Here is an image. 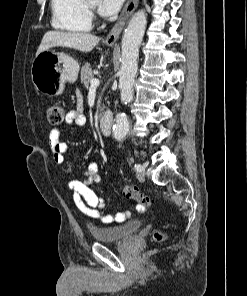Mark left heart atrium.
<instances>
[{
  "instance_id": "1",
  "label": "left heart atrium",
  "mask_w": 247,
  "mask_h": 296,
  "mask_svg": "<svg viewBox=\"0 0 247 296\" xmlns=\"http://www.w3.org/2000/svg\"><path fill=\"white\" fill-rule=\"evenodd\" d=\"M125 0H101L99 11L104 16L116 14L122 7Z\"/></svg>"
}]
</instances>
